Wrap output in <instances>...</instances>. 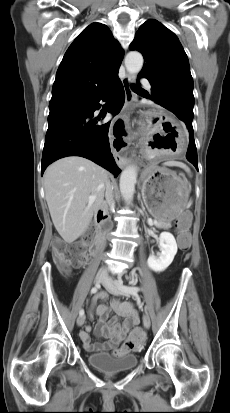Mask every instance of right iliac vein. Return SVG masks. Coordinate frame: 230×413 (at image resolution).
I'll return each mask as SVG.
<instances>
[{
  "instance_id": "1",
  "label": "right iliac vein",
  "mask_w": 230,
  "mask_h": 413,
  "mask_svg": "<svg viewBox=\"0 0 230 413\" xmlns=\"http://www.w3.org/2000/svg\"><path fill=\"white\" fill-rule=\"evenodd\" d=\"M105 278H106L105 272L99 271V272L97 273L96 277H95V282H96L97 284H99V283L103 282V281L105 280ZM84 321H85V317H84V316H79V317L77 318V325H78V326H82V325L84 324Z\"/></svg>"
}]
</instances>
